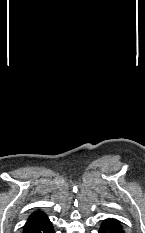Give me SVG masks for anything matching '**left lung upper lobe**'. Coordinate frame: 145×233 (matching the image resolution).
I'll return each mask as SVG.
<instances>
[{"mask_svg": "<svg viewBox=\"0 0 145 233\" xmlns=\"http://www.w3.org/2000/svg\"><path fill=\"white\" fill-rule=\"evenodd\" d=\"M108 221H111L112 223H114L115 225L122 227V225L120 224V222L118 220L115 219H107Z\"/></svg>", "mask_w": 145, "mask_h": 233, "instance_id": "obj_1", "label": "left lung upper lobe"}]
</instances>
